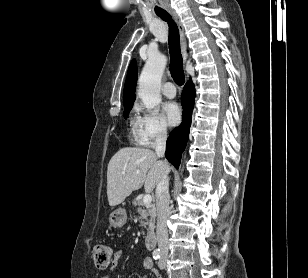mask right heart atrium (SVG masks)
<instances>
[{"label":"right heart atrium","mask_w":308,"mask_h":278,"mask_svg":"<svg viewBox=\"0 0 308 278\" xmlns=\"http://www.w3.org/2000/svg\"><path fill=\"white\" fill-rule=\"evenodd\" d=\"M168 127L156 112L139 110L135 120V139L142 146H152L167 138Z\"/></svg>","instance_id":"d8ad5b80"}]
</instances>
